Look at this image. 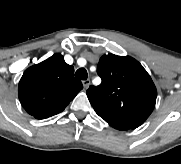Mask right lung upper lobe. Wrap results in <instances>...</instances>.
Segmentation results:
<instances>
[{
  "label": "right lung upper lobe",
  "mask_w": 181,
  "mask_h": 164,
  "mask_svg": "<svg viewBox=\"0 0 181 164\" xmlns=\"http://www.w3.org/2000/svg\"><path fill=\"white\" fill-rule=\"evenodd\" d=\"M74 68L57 53L28 68L18 86L24 109L37 119L62 112L83 88L74 76Z\"/></svg>",
  "instance_id": "right-lung-upper-lobe-1"
}]
</instances>
